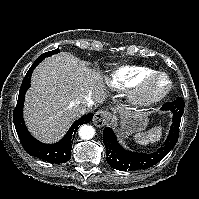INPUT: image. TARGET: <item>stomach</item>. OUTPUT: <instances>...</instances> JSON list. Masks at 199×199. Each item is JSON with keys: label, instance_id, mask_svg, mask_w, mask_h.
<instances>
[{"label": "stomach", "instance_id": "stomach-1", "mask_svg": "<svg viewBox=\"0 0 199 199\" xmlns=\"http://www.w3.org/2000/svg\"><path fill=\"white\" fill-rule=\"evenodd\" d=\"M115 117L120 121V134L123 137L145 130L149 122L147 112L130 106L119 107Z\"/></svg>", "mask_w": 199, "mask_h": 199}]
</instances>
